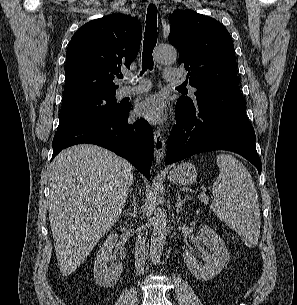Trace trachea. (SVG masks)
<instances>
[{"mask_svg": "<svg viewBox=\"0 0 297 305\" xmlns=\"http://www.w3.org/2000/svg\"><path fill=\"white\" fill-rule=\"evenodd\" d=\"M157 42V8L154 4L149 5L146 15V27L143 42V58H142V68L143 73L147 69H153V58L152 52ZM122 78V76L120 77Z\"/></svg>", "mask_w": 297, "mask_h": 305, "instance_id": "3493384b", "label": "trachea"}]
</instances>
